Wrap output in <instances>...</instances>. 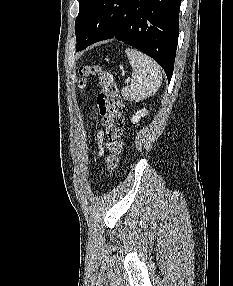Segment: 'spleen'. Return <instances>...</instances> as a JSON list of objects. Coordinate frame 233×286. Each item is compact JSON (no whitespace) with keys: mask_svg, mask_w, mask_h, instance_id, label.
<instances>
[{"mask_svg":"<svg viewBox=\"0 0 233 286\" xmlns=\"http://www.w3.org/2000/svg\"><path fill=\"white\" fill-rule=\"evenodd\" d=\"M133 68L129 85L121 93L127 101H140L154 95L162 84L161 67L141 51L127 48L125 50Z\"/></svg>","mask_w":233,"mask_h":286,"instance_id":"1","label":"spleen"}]
</instances>
